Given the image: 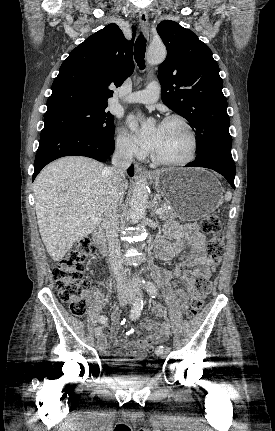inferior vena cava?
<instances>
[{"instance_id":"inferior-vena-cava-1","label":"inferior vena cava","mask_w":275,"mask_h":431,"mask_svg":"<svg viewBox=\"0 0 275 431\" xmlns=\"http://www.w3.org/2000/svg\"><path fill=\"white\" fill-rule=\"evenodd\" d=\"M132 158V147L129 144L119 145L112 157V167L104 170L107 175V186L103 225L108 239L109 262L120 290L129 287L125 281L126 274L121 261L117 211L123 201L126 169L131 165Z\"/></svg>"}]
</instances>
